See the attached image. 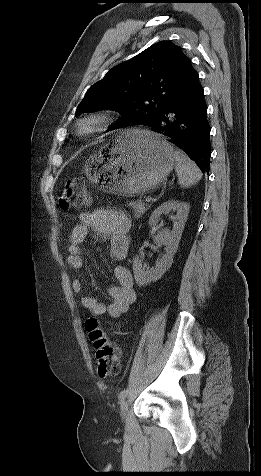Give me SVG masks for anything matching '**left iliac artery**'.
Masks as SVG:
<instances>
[{"label":"left iliac artery","instance_id":"1","mask_svg":"<svg viewBox=\"0 0 261 476\" xmlns=\"http://www.w3.org/2000/svg\"><path fill=\"white\" fill-rule=\"evenodd\" d=\"M128 393V390L127 389H124L122 390L120 393H119V399H124L126 397Z\"/></svg>","mask_w":261,"mask_h":476}]
</instances>
